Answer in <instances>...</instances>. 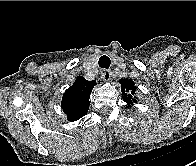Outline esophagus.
Here are the masks:
<instances>
[{
  "mask_svg": "<svg viewBox=\"0 0 196 166\" xmlns=\"http://www.w3.org/2000/svg\"><path fill=\"white\" fill-rule=\"evenodd\" d=\"M102 78L105 80V81H109L111 79V72L109 70H104L102 72Z\"/></svg>",
  "mask_w": 196,
  "mask_h": 166,
  "instance_id": "1",
  "label": "esophagus"
}]
</instances>
